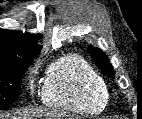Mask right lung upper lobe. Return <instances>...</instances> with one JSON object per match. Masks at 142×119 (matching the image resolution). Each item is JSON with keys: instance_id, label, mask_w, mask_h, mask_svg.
I'll list each match as a JSON object with an SVG mask.
<instances>
[{"instance_id": "right-lung-upper-lobe-1", "label": "right lung upper lobe", "mask_w": 142, "mask_h": 119, "mask_svg": "<svg viewBox=\"0 0 142 119\" xmlns=\"http://www.w3.org/2000/svg\"><path fill=\"white\" fill-rule=\"evenodd\" d=\"M41 38L39 34L0 29V65L33 60L42 48L37 44Z\"/></svg>"}]
</instances>
